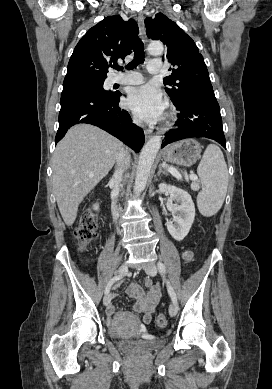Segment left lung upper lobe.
<instances>
[{
  "instance_id": "5c2ea615",
  "label": "left lung upper lobe",
  "mask_w": 272,
  "mask_h": 389,
  "mask_svg": "<svg viewBox=\"0 0 272 389\" xmlns=\"http://www.w3.org/2000/svg\"><path fill=\"white\" fill-rule=\"evenodd\" d=\"M147 36L161 40L167 46L163 60L174 68L169 77L164 78L167 94L175 106L184 102L191 94L213 90L203 56L194 41L172 20L158 13L155 18H146Z\"/></svg>"
}]
</instances>
